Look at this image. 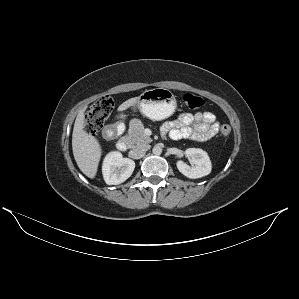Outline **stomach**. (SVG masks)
Wrapping results in <instances>:
<instances>
[{
  "mask_svg": "<svg viewBox=\"0 0 299 299\" xmlns=\"http://www.w3.org/2000/svg\"><path fill=\"white\" fill-rule=\"evenodd\" d=\"M140 112L151 120L170 117L177 106L174 94L166 88H155L143 92L136 103Z\"/></svg>",
  "mask_w": 299,
  "mask_h": 299,
  "instance_id": "1",
  "label": "stomach"
}]
</instances>
